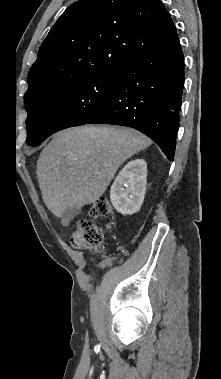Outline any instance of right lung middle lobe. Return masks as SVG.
Instances as JSON below:
<instances>
[{
  "mask_svg": "<svg viewBox=\"0 0 221 379\" xmlns=\"http://www.w3.org/2000/svg\"><path fill=\"white\" fill-rule=\"evenodd\" d=\"M118 70L78 78L54 87L28 103L27 144L37 146L51 134L86 124L111 100Z\"/></svg>",
  "mask_w": 221,
  "mask_h": 379,
  "instance_id": "right-lung-middle-lobe-1",
  "label": "right lung middle lobe"
}]
</instances>
